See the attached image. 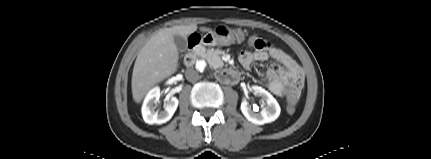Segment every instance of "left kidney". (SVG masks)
<instances>
[{"label": "left kidney", "instance_id": "left-kidney-1", "mask_svg": "<svg viewBox=\"0 0 431 159\" xmlns=\"http://www.w3.org/2000/svg\"><path fill=\"white\" fill-rule=\"evenodd\" d=\"M252 89L266 106L260 112H256L254 109H251V106L246 100H243L240 107L243 115L248 121L258 125L275 121L279 117L281 111L276 99L260 86H253Z\"/></svg>", "mask_w": 431, "mask_h": 159}]
</instances>
